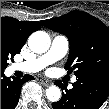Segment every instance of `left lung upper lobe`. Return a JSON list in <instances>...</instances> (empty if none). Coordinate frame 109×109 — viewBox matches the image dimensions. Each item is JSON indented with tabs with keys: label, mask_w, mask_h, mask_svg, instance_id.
Instances as JSON below:
<instances>
[{
	"label": "left lung upper lobe",
	"mask_w": 109,
	"mask_h": 109,
	"mask_svg": "<svg viewBox=\"0 0 109 109\" xmlns=\"http://www.w3.org/2000/svg\"><path fill=\"white\" fill-rule=\"evenodd\" d=\"M41 23L68 37L70 52L65 68L74 70L76 77L84 74L109 77V28L103 22L74 10Z\"/></svg>",
	"instance_id": "1"
}]
</instances>
